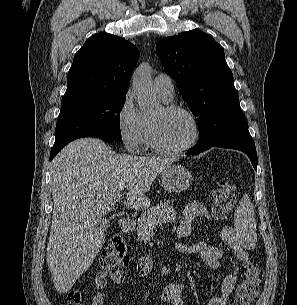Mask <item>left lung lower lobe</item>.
Returning <instances> with one entry per match:
<instances>
[{
    "label": "left lung lower lobe",
    "mask_w": 297,
    "mask_h": 305,
    "mask_svg": "<svg viewBox=\"0 0 297 305\" xmlns=\"http://www.w3.org/2000/svg\"><path fill=\"white\" fill-rule=\"evenodd\" d=\"M200 147H194L195 149L187 154L196 155L203 151L208 150L211 147H223L240 150L247 154L255 170H257V153L255 143L251 137L248 129L245 125L238 126L233 130L223 135L218 141L211 142L208 139H203Z\"/></svg>",
    "instance_id": "0a47b994"
}]
</instances>
